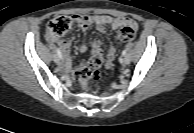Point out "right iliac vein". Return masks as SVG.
<instances>
[{
  "label": "right iliac vein",
  "mask_w": 194,
  "mask_h": 133,
  "mask_svg": "<svg viewBox=\"0 0 194 133\" xmlns=\"http://www.w3.org/2000/svg\"><path fill=\"white\" fill-rule=\"evenodd\" d=\"M53 60L55 63L59 64L60 63V57L58 55L53 56Z\"/></svg>",
  "instance_id": "obj_1"
}]
</instances>
